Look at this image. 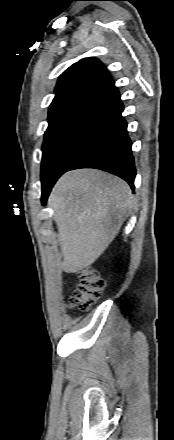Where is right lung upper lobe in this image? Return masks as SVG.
Masks as SVG:
<instances>
[{
    "label": "right lung upper lobe",
    "instance_id": "1",
    "mask_svg": "<svg viewBox=\"0 0 174 440\" xmlns=\"http://www.w3.org/2000/svg\"><path fill=\"white\" fill-rule=\"evenodd\" d=\"M113 86L108 71L98 59H82L59 77L49 115L86 98L99 97Z\"/></svg>",
    "mask_w": 174,
    "mask_h": 440
}]
</instances>
